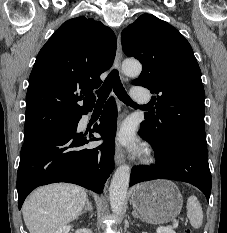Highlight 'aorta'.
Segmentation results:
<instances>
[{
	"label": "aorta",
	"mask_w": 227,
	"mask_h": 233,
	"mask_svg": "<svg viewBox=\"0 0 227 233\" xmlns=\"http://www.w3.org/2000/svg\"><path fill=\"white\" fill-rule=\"evenodd\" d=\"M122 71L129 77H136L141 73L142 65L138 61L126 60L122 64ZM130 171L128 165H121L117 168L111 180L109 197L112 212L115 214H119L125 204Z\"/></svg>",
	"instance_id": "obj_1"
}]
</instances>
